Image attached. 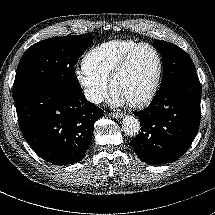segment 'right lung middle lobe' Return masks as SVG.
I'll return each mask as SVG.
<instances>
[{
	"instance_id": "right-lung-middle-lobe-1",
	"label": "right lung middle lobe",
	"mask_w": 215,
	"mask_h": 215,
	"mask_svg": "<svg viewBox=\"0 0 215 215\" xmlns=\"http://www.w3.org/2000/svg\"><path fill=\"white\" fill-rule=\"evenodd\" d=\"M93 38L91 35H68L45 39L30 46L17 67L13 98L47 86L81 91L74 66Z\"/></svg>"
}]
</instances>
